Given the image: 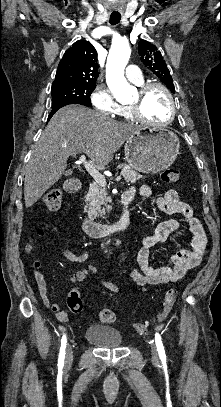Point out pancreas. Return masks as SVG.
Here are the masks:
<instances>
[{"label": "pancreas", "mask_w": 221, "mask_h": 407, "mask_svg": "<svg viewBox=\"0 0 221 407\" xmlns=\"http://www.w3.org/2000/svg\"><path fill=\"white\" fill-rule=\"evenodd\" d=\"M121 175L126 182L135 183L142 176L132 168L125 166L121 170ZM110 198L106 191L105 186L96 182L90 184L89 190L85 196L84 211L88 214L90 219H95L97 216H103L110 210L108 203Z\"/></svg>", "instance_id": "obj_1"}]
</instances>
